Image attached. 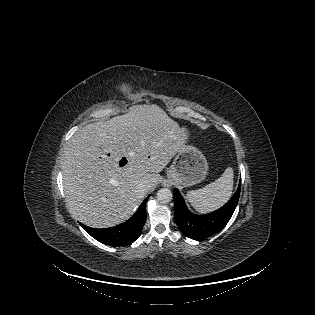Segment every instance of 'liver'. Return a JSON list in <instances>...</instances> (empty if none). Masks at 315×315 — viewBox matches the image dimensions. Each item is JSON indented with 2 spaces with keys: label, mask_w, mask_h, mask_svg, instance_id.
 I'll use <instances>...</instances> for the list:
<instances>
[{
  "label": "liver",
  "mask_w": 315,
  "mask_h": 315,
  "mask_svg": "<svg viewBox=\"0 0 315 315\" xmlns=\"http://www.w3.org/2000/svg\"><path fill=\"white\" fill-rule=\"evenodd\" d=\"M187 139V128L154 104L135 105L127 114L78 129L62 156L69 212L94 228L127 218L161 181L159 173L184 150ZM122 156L128 163L119 167ZM142 181L146 193L137 192Z\"/></svg>",
  "instance_id": "liver-1"
}]
</instances>
